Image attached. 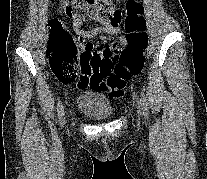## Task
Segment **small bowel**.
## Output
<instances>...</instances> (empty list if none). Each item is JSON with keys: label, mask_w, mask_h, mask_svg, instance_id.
<instances>
[{"label": "small bowel", "mask_w": 207, "mask_h": 179, "mask_svg": "<svg viewBox=\"0 0 207 179\" xmlns=\"http://www.w3.org/2000/svg\"><path fill=\"white\" fill-rule=\"evenodd\" d=\"M85 18L99 22L103 25V27L89 29V30L81 29L82 21ZM122 18H123L122 12L118 9H114L108 18H104L99 15H89L86 17H76L73 21V26L77 30L78 35L82 41L92 39V38L97 37L103 33L114 35V36H119V35H121L120 23H121ZM55 21H57V20H52L50 23L55 22ZM81 84L83 85V83H81Z\"/></svg>", "instance_id": "1"}]
</instances>
